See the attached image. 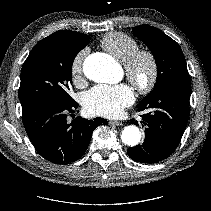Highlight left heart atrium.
I'll return each instance as SVG.
<instances>
[{"mask_svg": "<svg viewBox=\"0 0 211 211\" xmlns=\"http://www.w3.org/2000/svg\"><path fill=\"white\" fill-rule=\"evenodd\" d=\"M134 101V94L126 84L98 85L83 98V107L90 115L115 117Z\"/></svg>", "mask_w": 211, "mask_h": 211, "instance_id": "1", "label": "left heart atrium"}]
</instances>
